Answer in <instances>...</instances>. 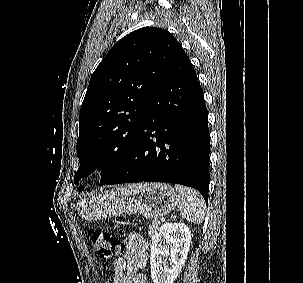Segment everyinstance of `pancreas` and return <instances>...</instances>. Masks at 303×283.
I'll return each instance as SVG.
<instances>
[{"mask_svg":"<svg viewBox=\"0 0 303 283\" xmlns=\"http://www.w3.org/2000/svg\"><path fill=\"white\" fill-rule=\"evenodd\" d=\"M159 230H160L159 224L155 223L153 221L152 224L149 226V236H150V238H153L158 233Z\"/></svg>","mask_w":303,"mask_h":283,"instance_id":"obj_1","label":"pancreas"}]
</instances>
